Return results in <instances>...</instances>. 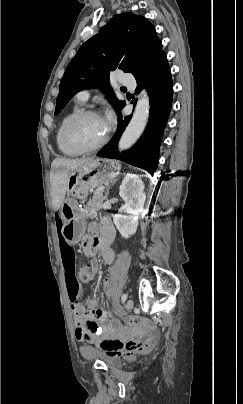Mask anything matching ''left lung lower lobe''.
Here are the masks:
<instances>
[{
    "label": "left lung lower lobe",
    "mask_w": 243,
    "mask_h": 404,
    "mask_svg": "<svg viewBox=\"0 0 243 404\" xmlns=\"http://www.w3.org/2000/svg\"><path fill=\"white\" fill-rule=\"evenodd\" d=\"M139 93L147 88L150 98V114L147 127L138 142L129 150L120 153L118 142L132 115L122 120L119 117L117 131L112 140L97 154L99 157L114 158L143 168L153 174L158 164L159 145L167 123L173 97V84L166 54L160 55L141 76L136 78Z\"/></svg>",
    "instance_id": "0a47b994"
}]
</instances>
